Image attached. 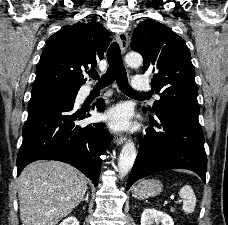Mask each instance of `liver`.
Wrapping results in <instances>:
<instances>
[{"label":"liver","instance_id":"1","mask_svg":"<svg viewBox=\"0 0 228 225\" xmlns=\"http://www.w3.org/2000/svg\"><path fill=\"white\" fill-rule=\"evenodd\" d=\"M18 183L22 225H57L78 207L87 189L86 177L59 161L31 163Z\"/></svg>","mask_w":228,"mask_h":225}]
</instances>
